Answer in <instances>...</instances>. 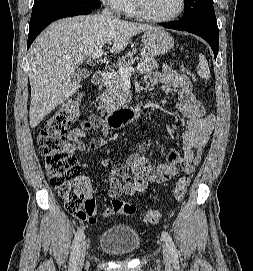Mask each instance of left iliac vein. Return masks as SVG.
I'll return each instance as SVG.
<instances>
[{
	"instance_id": "left-iliac-vein-1",
	"label": "left iliac vein",
	"mask_w": 253,
	"mask_h": 271,
	"mask_svg": "<svg viewBox=\"0 0 253 271\" xmlns=\"http://www.w3.org/2000/svg\"><path fill=\"white\" fill-rule=\"evenodd\" d=\"M163 259H164V263L167 267H170L171 265V259H170V255L169 252L167 250L166 247H163Z\"/></svg>"
}]
</instances>
